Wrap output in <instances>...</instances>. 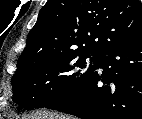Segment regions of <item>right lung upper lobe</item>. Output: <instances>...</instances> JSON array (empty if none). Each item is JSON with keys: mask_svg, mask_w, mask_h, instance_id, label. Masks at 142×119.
I'll return each mask as SVG.
<instances>
[{"mask_svg": "<svg viewBox=\"0 0 142 119\" xmlns=\"http://www.w3.org/2000/svg\"><path fill=\"white\" fill-rule=\"evenodd\" d=\"M142 40L138 0H48L27 36L18 69L65 51L100 55Z\"/></svg>", "mask_w": 142, "mask_h": 119, "instance_id": "obj_1", "label": "right lung upper lobe"}]
</instances>
